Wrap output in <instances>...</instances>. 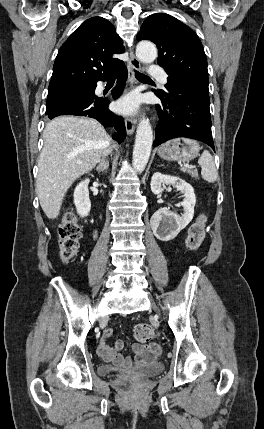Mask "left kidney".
Listing matches in <instances>:
<instances>
[{"label": "left kidney", "instance_id": "1", "mask_svg": "<svg viewBox=\"0 0 264 429\" xmlns=\"http://www.w3.org/2000/svg\"><path fill=\"white\" fill-rule=\"evenodd\" d=\"M172 185L183 193L184 199L181 203L184 208L182 216L170 211L168 208H160L150 219L151 229L157 239L170 241L184 229L193 219L196 197L193 187L177 176L165 175L155 172L151 178V191L157 195L163 191L162 185Z\"/></svg>", "mask_w": 264, "mask_h": 429}]
</instances>
